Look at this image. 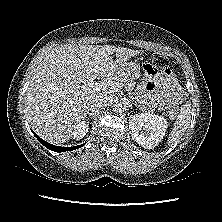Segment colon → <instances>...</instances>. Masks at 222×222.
<instances>
[{"label":"colon","mask_w":222,"mask_h":222,"mask_svg":"<svg viewBox=\"0 0 222 222\" xmlns=\"http://www.w3.org/2000/svg\"><path fill=\"white\" fill-rule=\"evenodd\" d=\"M169 60L168 58L160 53H155L152 55L151 60L144 66L145 71L148 74H156L158 72H168L169 71ZM177 115V106L172 104L170 108V116L175 118Z\"/></svg>","instance_id":"colon-1"}]
</instances>
